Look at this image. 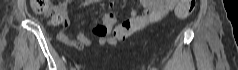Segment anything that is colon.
Returning <instances> with one entry per match:
<instances>
[{
    "mask_svg": "<svg viewBox=\"0 0 238 70\" xmlns=\"http://www.w3.org/2000/svg\"><path fill=\"white\" fill-rule=\"evenodd\" d=\"M195 4V0H180L175 10L176 15L179 18H187L193 12ZM30 7L37 15L49 16L52 25H59L63 21L62 16L54 10L49 0H30Z\"/></svg>",
    "mask_w": 238,
    "mask_h": 70,
    "instance_id": "colon-1",
    "label": "colon"
}]
</instances>
